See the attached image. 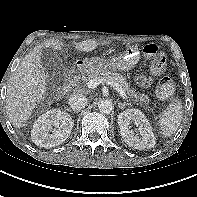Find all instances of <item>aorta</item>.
Returning a JSON list of instances; mask_svg holds the SVG:
<instances>
[{
  "mask_svg": "<svg viewBox=\"0 0 197 197\" xmlns=\"http://www.w3.org/2000/svg\"><path fill=\"white\" fill-rule=\"evenodd\" d=\"M98 109L103 114H110L113 110V104L110 100H103L98 104Z\"/></svg>",
  "mask_w": 197,
  "mask_h": 197,
  "instance_id": "aorta-1",
  "label": "aorta"
}]
</instances>
